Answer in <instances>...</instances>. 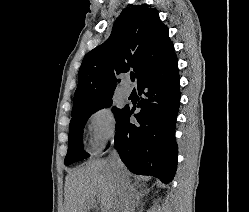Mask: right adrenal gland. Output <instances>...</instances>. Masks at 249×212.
<instances>
[{
	"mask_svg": "<svg viewBox=\"0 0 249 212\" xmlns=\"http://www.w3.org/2000/svg\"><path fill=\"white\" fill-rule=\"evenodd\" d=\"M131 192L133 194V210H134V208H138V206L140 204V198H142V196H144V194H147V192H138V190H137V188H135V186H132Z\"/></svg>",
	"mask_w": 249,
	"mask_h": 212,
	"instance_id": "obj_1",
	"label": "right adrenal gland"
}]
</instances>
